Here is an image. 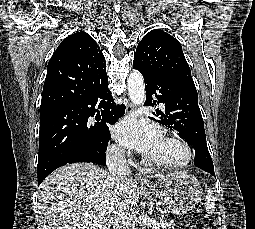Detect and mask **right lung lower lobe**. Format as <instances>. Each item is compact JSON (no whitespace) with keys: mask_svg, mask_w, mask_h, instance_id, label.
Instances as JSON below:
<instances>
[{"mask_svg":"<svg viewBox=\"0 0 255 229\" xmlns=\"http://www.w3.org/2000/svg\"><path fill=\"white\" fill-rule=\"evenodd\" d=\"M95 106L102 108V119L95 125H91L90 131L101 142L100 154L93 157L89 155L85 147H79L68 160L59 166L47 169L40 167L38 164V185H40L41 182L56 168L68 163L88 162L97 165L106 164L105 151L110 139L107 123L114 124L123 115L125 110L124 105H115L113 103V97L108 89V78L106 73L100 77L99 81L96 80L87 94L78 101L72 104L55 106L40 111V121L67 113H76L88 121L89 117L95 115Z\"/></svg>","mask_w":255,"mask_h":229,"instance_id":"1","label":"right lung lower lobe"}]
</instances>
